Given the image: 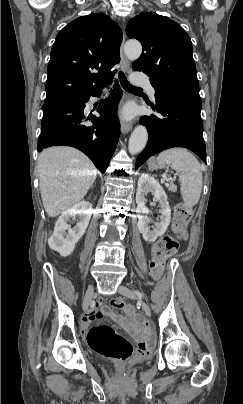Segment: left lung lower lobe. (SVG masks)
<instances>
[{
  "instance_id": "1",
  "label": "left lung lower lobe",
  "mask_w": 243,
  "mask_h": 404,
  "mask_svg": "<svg viewBox=\"0 0 243 404\" xmlns=\"http://www.w3.org/2000/svg\"><path fill=\"white\" fill-rule=\"evenodd\" d=\"M201 106V97L198 96L165 94L157 97L156 107H151L160 113V117L140 118V123L148 129L149 139L136 160L135 169L152 155L173 147L187 148L206 163Z\"/></svg>"
}]
</instances>
